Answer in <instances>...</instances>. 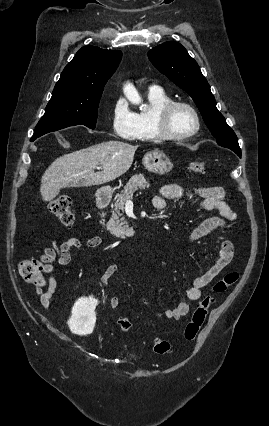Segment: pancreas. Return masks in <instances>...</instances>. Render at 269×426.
I'll return each instance as SVG.
<instances>
[{"instance_id": "cf45deb5", "label": "pancreas", "mask_w": 269, "mask_h": 426, "mask_svg": "<svg viewBox=\"0 0 269 426\" xmlns=\"http://www.w3.org/2000/svg\"><path fill=\"white\" fill-rule=\"evenodd\" d=\"M150 184L145 179L143 174L134 175L130 178L129 182L125 185L124 190L121 194L117 195L115 202L112 205V217L107 223V230L114 236L125 238L133 236L134 230L128 227V222L122 216V211H124V205L126 200L132 199L133 194L137 190H144L149 188ZM121 217V218H120Z\"/></svg>"}]
</instances>
